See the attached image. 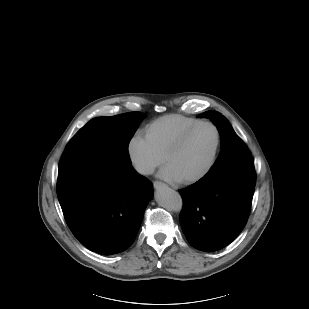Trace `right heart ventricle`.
<instances>
[{
    "label": "right heart ventricle",
    "instance_id": "right-heart-ventricle-1",
    "mask_svg": "<svg viewBox=\"0 0 309 309\" xmlns=\"http://www.w3.org/2000/svg\"><path fill=\"white\" fill-rule=\"evenodd\" d=\"M198 121L200 119L181 114L164 115L147 125L144 136L165 157L176 138Z\"/></svg>",
    "mask_w": 309,
    "mask_h": 309
}]
</instances>
